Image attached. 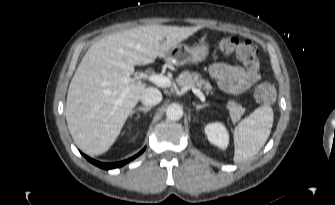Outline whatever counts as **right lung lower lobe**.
<instances>
[{
    "label": "right lung lower lobe",
    "instance_id": "98d812e1",
    "mask_svg": "<svg viewBox=\"0 0 335 205\" xmlns=\"http://www.w3.org/2000/svg\"><path fill=\"white\" fill-rule=\"evenodd\" d=\"M145 149H143L142 151H140L138 154H136L135 156L127 159V160H124V161H121V162H117V163H102V162H98L86 155L83 154V156L91 163H93L94 165L100 167V168H103V169H112V168H116V167H121L125 164H127L128 162L132 161L133 159H135L136 157H138L140 154H142L144 152Z\"/></svg>",
    "mask_w": 335,
    "mask_h": 205
}]
</instances>
